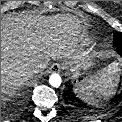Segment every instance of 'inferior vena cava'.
I'll return each instance as SVG.
<instances>
[{
	"label": "inferior vena cava",
	"instance_id": "inferior-vena-cava-1",
	"mask_svg": "<svg viewBox=\"0 0 122 122\" xmlns=\"http://www.w3.org/2000/svg\"><path fill=\"white\" fill-rule=\"evenodd\" d=\"M46 67H47V63H45V62H40V63H38V64L35 66L33 72H34V73H40V72L43 71Z\"/></svg>",
	"mask_w": 122,
	"mask_h": 122
}]
</instances>
